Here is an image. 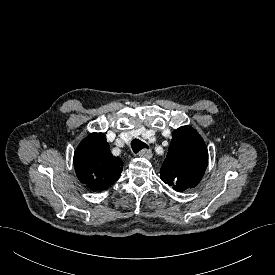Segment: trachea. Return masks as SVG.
<instances>
[{
	"label": "trachea",
	"instance_id": "trachea-1",
	"mask_svg": "<svg viewBox=\"0 0 275 275\" xmlns=\"http://www.w3.org/2000/svg\"><path fill=\"white\" fill-rule=\"evenodd\" d=\"M131 147L134 153H138L140 150L148 148V145L139 139H134L131 142Z\"/></svg>",
	"mask_w": 275,
	"mask_h": 275
}]
</instances>
